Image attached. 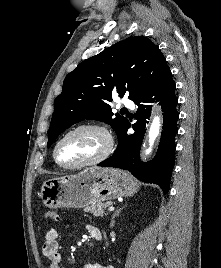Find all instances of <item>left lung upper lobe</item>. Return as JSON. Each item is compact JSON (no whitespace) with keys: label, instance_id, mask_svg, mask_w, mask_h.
Returning <instances> with one entry per match:
<instances>
[{"label":"left lung upper lobe","instance_id":"left-lung-upper-lobe-1","mask_svg":"<svg viewBox=\"0 0 221 268\" xmlns=\"http://www.w3.org/2000/svg\"><path fill=\"white\" fill-rule=\"evenodd\" d=\"M171 77L166 59L151 40L137 36L122 40L80 63L54 101L47 147L68 127L85 119L110 124L118 135L127 118L111 111V95L136 101ZM115 115V117H114Z\"/></svg>","mask_w":221,"mask_h":268}]
</instances>
